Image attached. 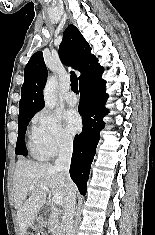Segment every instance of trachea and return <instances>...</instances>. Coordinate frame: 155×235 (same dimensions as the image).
<instances>
[{
    "label": "trachea",
    "instance_id": "1",
    "mask_svg": "<svg viewBox=\"0 0 155 235\" xmlns=\"http://www.w3.org/2000/svg\"><path fill=\"white\" fill-rule=\"evenodd\" d=\"M71 74V78H70V81H71V89L78 94V78L77 76L75 75V73L73 71L70 72Z\"/></svg>",
    "mask_w": 155,
    "mask_h": 235
}]
</instances>
